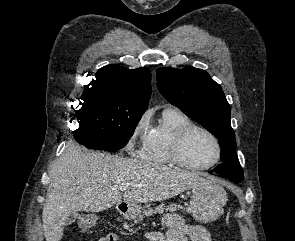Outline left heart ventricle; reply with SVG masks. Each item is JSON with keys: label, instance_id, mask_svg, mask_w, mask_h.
Returning a JSON list of instances; mask_svg holds the SVG:
<instances>
[{"label": "left heart ventricle", "instance_id": "b2bd125f", "mask_svg": "<svg viewBox=\"0 0 295 241\" xmlns=\"http://www.w3.org/2000/svg\"><path fill=\"white\" fill-rule=\"evenodd\" d=\"M216 146L213 140L200 130L192 131L186 138L182 154L184 159L192 164L204 166L216 157Z\"/></svg>", "mask_w": 295, "mask_h": 241}]
</instances>
